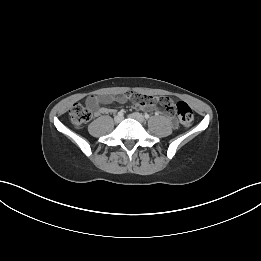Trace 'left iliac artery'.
Wrapping results in <instances>:
<instances>
[{
    "mask_svg": "<svg viewBox=\"0 0 261 261\" xmlns=\"http://www.w3.org/2000/svg\"><path fill=\"white\" fill-rule=\"evenodd\" d=\"M144 117H145L146 119H148L150 116H149V114H145Z\"/></svg>",
    "mask_w": 261,
    "mask_h": 261,
    "instance_id": "left-iliac-artery-1",
    "label": "left iliac artery"
}]
</instances>
